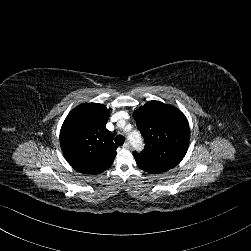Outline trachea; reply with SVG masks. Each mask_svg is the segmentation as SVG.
Here are the masks:
<instances>
[{
    "label": "trachea",
    "instance_id": "1",
    "mask_svg": "<svg viewBox=\"0 0 251 251\" xmlns=\"http://www.w3.org/2000/svg\"><path fill=\"white\" fill-rule=\"evenodd\" d=\"M115 143L118 145V146H122L124 144V137L122 135H117L115 137Z\"/></svg>",
    "mask_w": 251,
    "mask_h": 251
}]
</instances>
